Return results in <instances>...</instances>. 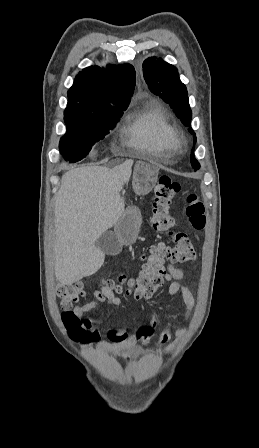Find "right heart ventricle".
Wrapping results in <instances>:
<instances>
[{
  "mask_svg": "<svg viewBox=\"0 0 259 448\" xmlns=\"http://www.w3.org/2000/svg\"><path fill=\"white\" fill-rule=\"evenodd\" d=\"M121 128L129 144L135 148L144 151H152L153 148L170 149L169 138L174 128L159 109L149 110L144 103H139L124 115Z\"/></svg>",
  "mask_w": 259,
  "mask_h": 448,
  "instance_id": "obj_1",
  "label": "right heart ventricle"
}]
</instances>
